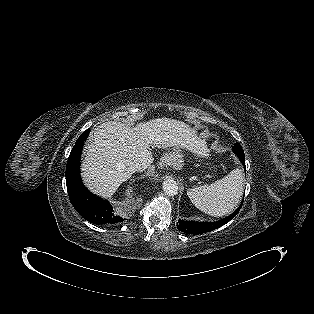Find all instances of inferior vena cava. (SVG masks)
Segmentation results:
<instances>
[{
    "instance_id": "1",
    "label": "inferior vena cava",
    "mask_w": 314,
    "mask_h": 314,
    "mask_svg": "<svg viewBox=\"0 0 314 314\" xmlns=\"http://www.w3.org/2000/svg\"><path fill=\"white\" fill-rule=\"evenodd\" d=\"M143 170L144 168L140 163H132L127 167V172L130 173L131 175L135 172H138V171L141 172Z\"/></svg>"
}]
</instances>
